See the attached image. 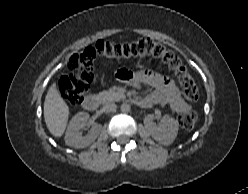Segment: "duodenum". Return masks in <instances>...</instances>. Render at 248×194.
<instances>
[{"mask_svg":"<svg viewBox=\"0 0 248 194\" xmlns=\"http://www.w3.org/2000/svg\"><path fill=\"white\" fill-rule=\"evenodd\" d=\"M98 102H99V99L97 96L89 95L84 99L82 106L84 109H86L88 111H94V110H96V108L98 106ZM134 103L136 105L143 106V107H145L144 105L146 104V102L144 100H141V99L134 100Z\"/></svg>","mask_w":248,"mask_h":194,"instance_id":"obj_1","label":"duodenum"}]
</instances>
